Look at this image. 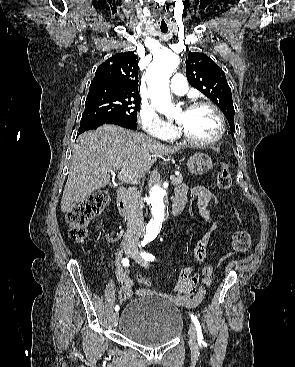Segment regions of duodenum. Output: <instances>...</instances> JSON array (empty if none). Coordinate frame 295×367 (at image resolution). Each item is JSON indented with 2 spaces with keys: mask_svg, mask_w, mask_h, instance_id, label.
<instances>
[{
  "mask_svg": "<svg viewBox=\"0 0 295 367\" xmlns=\"http://www.w3.org/2000/svg\"><path fill=\"white\" fill-rule=\"evenodd\" d=\"M117 208L119 213L123 217H128L131 214V205L129 201V193L128 190L124 187H121L117 191V198H116ZM184 208V202L174 200L171 208L172 215H178Z\"/></svg>",
  "mask_w": 295,
  "mask_h": 367,
  "instance_id": "410a0bca",
  "label": "duodenum"
}]
</instances>
